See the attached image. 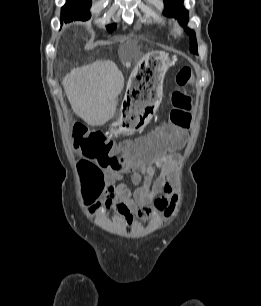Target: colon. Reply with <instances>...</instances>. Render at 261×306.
<instances>
[{"label": "colon", "instance_id": "1", "mask_svg": "<svg viewBox=\"0 0 261 306\" xmlns=\"http://www.w3.org/2000/svg\"><path fill=\"white\" fill-rule=\"evenodd\" d=\"M175 81L178 89L174 90L170 97V121L140 137L136 142H123L116 150L107 133L90 131L80 124L73 127L74 147L82 154L77 169L90 194L102 193L104 170L117 171L149 164L180 146L191 122L192 99L188 93L194 81L191 68L183 67L178 70Z\"/></svg>", "mask_w": 261, "mask_h": 306}]
</instances>
